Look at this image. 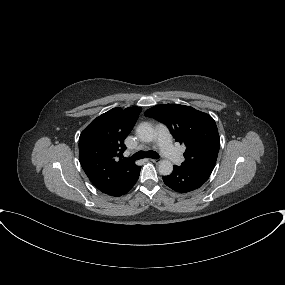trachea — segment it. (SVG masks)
<instances>
[{"instance_id": "obj_1", "label": "trachea", "mask_w": 285, "mask_h": 285, "mask_svg": "<svg viewBox=\"0 0 285 285\" xmlns=\"http://www.w3.org/2000/svg\"><path fill=\"white\" fill-rule=\"evenodd\" d=\"M152 158V159H158L159 158V154L156 153L155 151H139L137 153H135L132 157L129 158V160L131 161H135V160H139V159H143V158Z\"/></svg>"}]
</instances>
